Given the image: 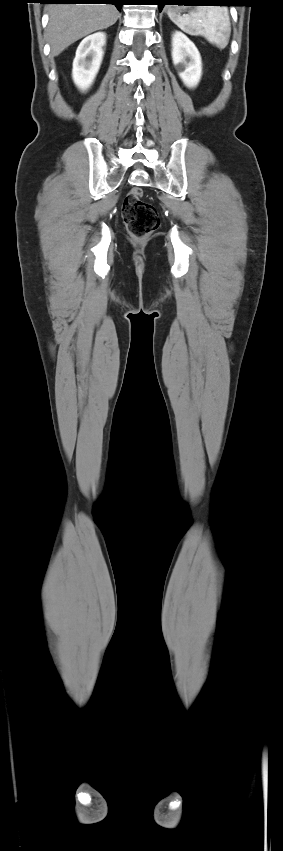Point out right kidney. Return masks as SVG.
Wrapping results in <instances>:
<instances>
[{
  "label": "right kidney",
  "mask_w": 283,
  "mask_h": 851,
  "mask_svg": "<svg viewBox=\"0 0 283 851\" xmlns=\"http://www.w3.org/2000/svg\"><path fill=\"white\" fill-rule=\"evenodd\" d=\"M105 43V33L98 32L84 38L76 50L72 77L76 86L82 91L87 90L92 85L99 71Z\"/></svg>",
  "instance_id": "ca27d5eb"
}]
</instances>
